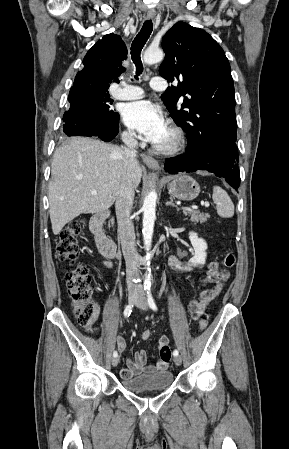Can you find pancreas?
<instances>
[{
	"label": "pancreas",
	"mask_w": 289,
	"mask_h": 449,
	"mask_svg": "<svg viewBox=\"0 0 289 449\" xmlns=\"http://www.w3.org/2000/svg\"><path fill=\"white\" fill-rule=\"evenodd\" d=\"M189 217H190V221L193 222L194 224H196L197 222H205L207 221L209 215L208 214H204V213H200L197 211H193V212H189ZM185 215H187V213L185 212Z\"/></svg>",
	"instance_id": "pancreas-1"
}]
</instances>
